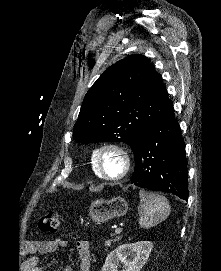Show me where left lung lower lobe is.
<instances>
[{"instance_id":"0a47b994","label":"left lung lower lobe","mask_w":221,"mask_h":271,"mask_svg":"<svg viewBox=\"0 0 221 271\" xmlns=\"http://www.w3.org/2000/svg\"><path fill=\"white\" fill-rule=\"evenodd\" d=\"M132 149L135 169L131 183L188 200V162L173 107L139 134Z\"/></svg>"}]
</instances>
